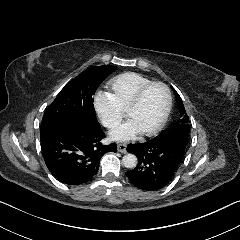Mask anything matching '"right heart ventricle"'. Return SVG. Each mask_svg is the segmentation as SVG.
Here are the masks:
<instances>
[{
    "label": "right heart ventricle",
    "mask_w": 240,
    "mask_h": 240,
    "mask_svg": "<svg viewBox=\"0 0 240 240\" xmlns=\"http://www.w3.org/2000/svg\"><path fill=\"white\" fill-rule=\"evenodd\" d=\"M151 80L134 72H126L110 79L105 88L106 93L120 109L124 110L134 98L136 92Z\"/></svg>",
    "instance_id": "e07e8e85"
}]
</instances>
